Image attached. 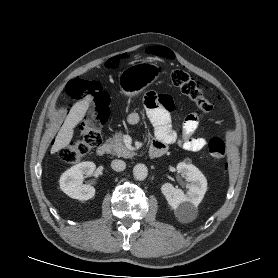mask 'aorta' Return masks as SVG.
<instances>
[{
	"label": "aorta",
	"mask_w": 278,
	"mask_h": 278,
	"mask_svg": "<svg viewBox=\"0 0 278 278\" xmlns=\"http://www.w3.org/2000/svg\"><path fill=\"white\" fill-rule=\"evenodd\" d=\"M134 178L137 180H144L148 175V169L144 164H137L133 168Z\"/></svg>",
	"instance_id": "1"
}]
</instances>
